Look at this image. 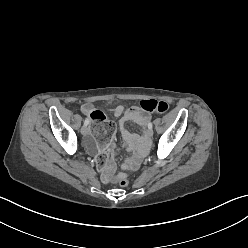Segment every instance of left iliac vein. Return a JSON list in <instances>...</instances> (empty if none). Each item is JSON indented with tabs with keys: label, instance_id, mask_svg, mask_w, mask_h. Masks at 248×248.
<instances>
[{
	"label": "left iliac vein",
	"instance_id": "left-iliac-vein-1",
	"mask_svg": "<svg viewBox=\"0 0 248 248\" xmlns=\"http://www.w3.org/2000/svg\"><path fill=\"white\" fill-rule=\"evenodd\" d=\"M147 135H148L149 137H152V136H153V130H152V129H148V130H147Z\"/></svg>",
	"mask_w": 248,
	"mask_h": 248
}]
</instances>
